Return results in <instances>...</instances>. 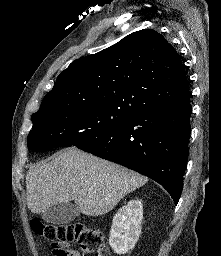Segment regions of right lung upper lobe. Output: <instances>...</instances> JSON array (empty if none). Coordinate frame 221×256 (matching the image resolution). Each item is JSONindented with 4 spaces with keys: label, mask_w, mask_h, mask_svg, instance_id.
<instances>
[{
    "label": "right lung upper lobe",
    "mask_w": 221,
    "mask_h": 256,
    "mask_svg": "<svg viewBox=\"0 0 221 256\" xmlns=\"http://www.w3.org/2000/svg\"><path fill=\"white\" fill-rule=\"evenodd\" d=\"M189 98L179 54L160 33L143 29L73 61L33 116L84 104L125 107L138 115Z\"/></svg>",
    "instance_id": "obj_1"
}]
</instances>
